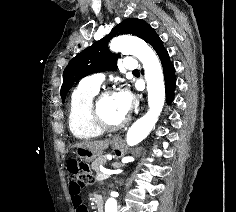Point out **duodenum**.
<instances>
[{
	"label": "duodenum",
	"instance_id": "410a0bca",
	"mask_svg": "<svg viewBox=\"0 0 236 212\" xmlns=\"http://www.w3.org/2000/svg\"><path fill=\"white\" fill-rule=\"evenodd\" d=\"M95 205L97 212H103L104 210V199L101 195H95Z\"/></svg>",
	"mask_w": 236,
	"mask_h": 212
}]
</instances>
